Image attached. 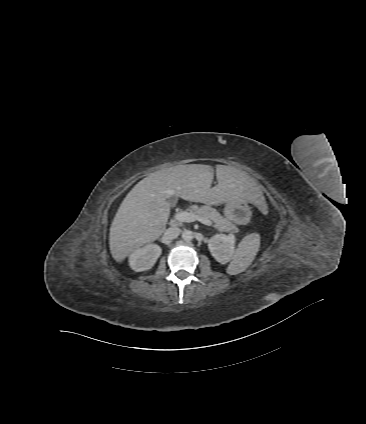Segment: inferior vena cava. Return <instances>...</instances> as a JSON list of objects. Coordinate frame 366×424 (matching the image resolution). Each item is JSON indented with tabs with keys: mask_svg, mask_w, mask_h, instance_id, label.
Instances as JSON below:
<instances>
[{
	"mask_svg": "<svg viewBox=\"0 0 366 424\" xmlns=\"http://www.w3.org/2000/svg\"><path fill=\"white\" fill-rule=\"evenodd\" d=\"M181 233V229L178 227H170L166 230L164 233V239L165 240H173L179 236Z\"/></svg>",
	"mask_w": 366,
	"mask_h": 424,
	"instance_id": "inferior-vena-cava-1",
	"label": "inferior vena cava"
}]
</instances>
